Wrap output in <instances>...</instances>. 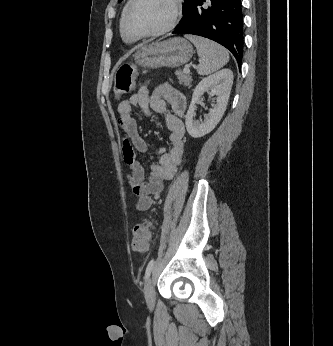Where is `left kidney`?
<instances>
[{"mask_svg":"<svg viewBox=\"0 0 333 346\" xmlns=\"http://www.w3.org/2000/svg\"><path fill=\"white\" fill-rule=\"evenodd\" d=\"M232 84L233 72L230 69H222L199 82L194 89L185 120L187 132L191 137H203L216 127L226 110ZM208 90H211L212 95L217 96L216 105L209 110L203 122L194 121L195 104L204 92Z\"/></svg>","mask_w":333,"mask_h":346,"instance_id":"obj_1","label":"left kidney"}]
</instances>
